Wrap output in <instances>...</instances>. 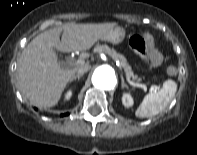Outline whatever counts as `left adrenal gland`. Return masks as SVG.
Masks as SVG:
<instances>
[{"label": "left adrenal gland", "instance_id": "a2214340", "mask_svg": "<svg viewBox=\"0 0 197 155\" xmlns=\"http://www.w3.org/2000/svg\"><path fill=\"white\" fill-rule=\"evenodd\" d=\"M121 83H122V88L127 87V85H126V83L124 82V79H123V78H121Z\"/></svg>", "mask_w": 197, "mask_h": 155}]
</instances>
